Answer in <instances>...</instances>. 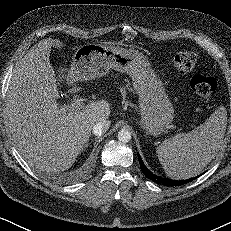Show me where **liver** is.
<instances>
[{"label":"liver","mask_w":231,"mask_h":231,"mask_svg":"<svg viewBox=\"0 0 231 231\" xmlns=\"http://www.w3.org/2000/svg\"><path fill=\"white\" fill-rule=\"evenodd\" d=\"M54 46L63 44L51 38L40 41L15 66L6 103L8 127L17 149L30 166L47 173L71 167L93 126L108 120L111 112L105 100L75 112L60 105L49 59Z\"/></svg>","instance_id":"1"}]
</instances>
